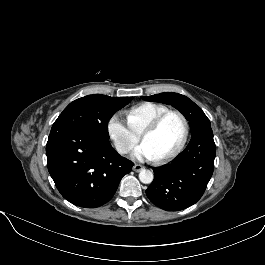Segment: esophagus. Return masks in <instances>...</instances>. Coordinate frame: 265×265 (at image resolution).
<instances>
[{
    "mask_svg": "<svg viewBox=\"0 0 265 265\" xmlns=\"http://www.w3.org/2000/svg\"><path fill=\"white\" fill-rule=\"evenodd\" d=\"M142 169H144V166H142L141 164H134L133 166V171L135 172H140Z\"/></svg>",
    "mask_w": 265,
    "mask_h": 265,
    "instance_id": "esophagus-1",
    "label": "esophagus"
}]
</instances>
